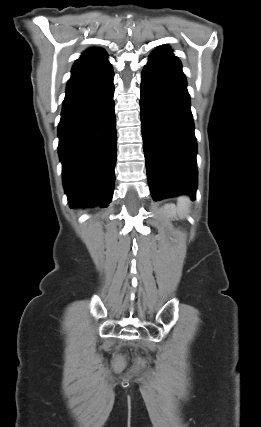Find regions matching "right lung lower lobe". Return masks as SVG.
<instances>
[{"mask_svg": "<svg viewBox=\"0 0 261 427\" xmlns=\"http://www.w3.org/2000/svg\"><path fill=\"white\" fill-rule=\"evenodd\" d=\"M113 69L69 81L58 126L59 156L70 207H107L116 163Z\"/></svg>", "mask_w": 261, "mask_h": 427, "instance_id": "1", "label": "right lung lower lobe"}]
</instances>
